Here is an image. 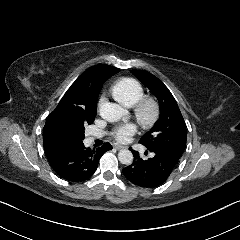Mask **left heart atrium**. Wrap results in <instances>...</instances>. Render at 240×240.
I'll use <instances>...</instances> for the list:
<instances>
[{"mask_svg": "<svg viewBox=\"0 0 240 240\" xmlns=\"http://www.w3.org/2000/svg\"><path fill=\"white\" fill-rule=\"evenodd\" d=\"M137 131V127L135 124H125L120 127H117L112 132V137L115 138L118 142L124 143L127 142L129 137L135 134Z\"/></svg>", "mask_w": 240, "mask_h": 240, "instance_id": "1", "label": "left heart atrium"}]
</instances>
